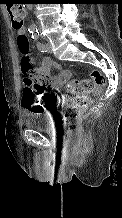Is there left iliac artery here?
<instances>
[{"mask_svg": "<svg viewBox=\"0 0 122 218\" xmlns=\"http://www.w3.org/2000/svg\"><path fill=\"white\" fill-rule=\"evenodd\" d=\"M32 38L34 41H36V44H37V48L41 51V52H47V47L45 44L41 43L39 41V32L36 31V32H33L32 33Z\"/></svg>", "mask_w": 122, "mask_h": 218, "instance_id": "left-iliac-artery-1", "label": "left iliac artery"}]
</instances>
